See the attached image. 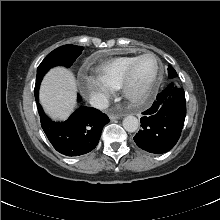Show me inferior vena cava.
<instances>
[{"mask_svg":"<svg viewBox=\"0 0 220 220\" xmlns=\"http://www.w3.org/2000/svg\"><path fill=\"white\" fill-rule=\"evenodd\" d=\"M90 104L94 108H97L99 110H103L109 106V101L104 95L97 94V95H94L90 98Z\"/></svg>","mask_w":220,"mask_h":220,"instance_id":"obj_1","label":"inferior vena cava"}]
</instances>
